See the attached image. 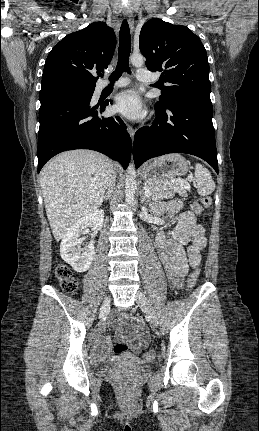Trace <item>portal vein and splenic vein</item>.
<instances>
[{"label":"portal vein and splenic vein","mask_w":259,"mask_h":431,"mask_svg":"<svg viewBox=\"0 0 259 431\" xmlns=\"http://www.w3.org/2000/svg\"><path fill=\"white\" fill-rule=\"evenodd\" d=\"M172 183H180V184H183V185H185V187L186 188H190V186H189V184H188V182H187V180H183V179H177V180H173V181H171ZM146 196H149L150 194H151V192H150V190H148V189H145V193H144Z\"/></svg>","instance_id":"obj_1"}]
</instances>
